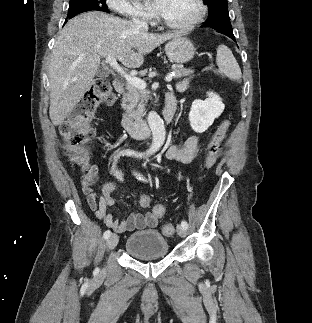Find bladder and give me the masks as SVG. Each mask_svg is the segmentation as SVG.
Returning <instances> with one entry per match:
<instances>
[{
    "mask_svg": "<svg viewBox=\"0 0 312 323\" xmlns=\"http://www.w3.org/2000/svg\"><path fill=\"white\" fill-rule=\"evenodd\" d=\"M126 252L141 260L165 257L169 242L158 230H144L132 233L125 242Z\"/></svg>",
    "mask_w": 312,
    "mask_h": 323,
    "instance_id": "1",
    "label": "bladder"
}]
</instances>
